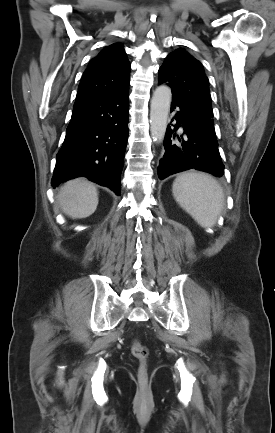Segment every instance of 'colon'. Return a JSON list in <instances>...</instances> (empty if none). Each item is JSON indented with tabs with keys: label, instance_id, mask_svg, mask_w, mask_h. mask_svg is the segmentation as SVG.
<instances>
[{
	"label": "colon",
	"instance_id": "1",
	"mask_svg": "<svg viewBox=\"0 0 275 433\" xmlns=\"http://www.w3.org/2000/svg\"><path fill=\"white\" fill-rule=\"evenodd\" d=\"M130 351L138 361V368H137L138 381L141 386H145L148 380V371H147V359L149 356L148 348L146 347V345L138 341H134L131 344Z\"/></svg>",
	"mask_w": 275,
	"mask_h": 433
}]
</instances>
